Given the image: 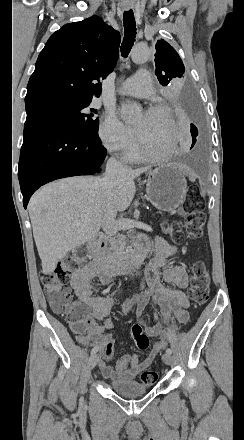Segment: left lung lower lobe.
<instances>
[{
  "instance_id": "1",
  "label": "left lung lower lobe",
  "mask_w": 244,
  "mask_h": 440,
  "mask_svg": "<svg viewBox=\"0 0 244 440\" xmlns=\"http://www.w3.org/2000/svg\"><path fill=\"white\" fill-rule=\"evenodd\" d=\"M180 104L187 118L192 121L190 124V132L192 135V145L190 149H192L198 141V129L196 124L198 123L199 115L196 101L192 94L187 93L182 97Z\"/></svg>"
}]
</instances>
